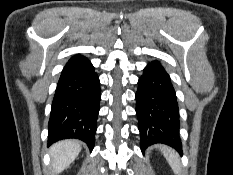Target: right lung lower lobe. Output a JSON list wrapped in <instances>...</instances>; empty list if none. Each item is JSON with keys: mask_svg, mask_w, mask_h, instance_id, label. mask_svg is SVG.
<instances>
[{"mask_svg": "<svg viewBox=\"0 0 233 175\" xmlns=\"http://www.w3.org/2000/svg\"><path fill=\"white\" fill-rule=\"evenodd\" d=\"M101 98L100 82L91 62L73 56L57 84L49 119L48 144L77 138L93 149Z\"/></svg>", "mask_w": 233, "mask_h": 175, "instance_id": "obj_1", "label": "right lung lower lobe"}]
</instances>
